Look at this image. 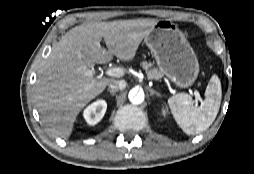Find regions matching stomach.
Wrapping results in <instances>:
<instances>
[{"instance_id":"0dacf381","label":"stomach","mask_w":254,"mask_h":174,"mask_svg":"<svg viewBox=\"0 0 254 174\" xmlns=\"http://www.w3.org/2000/svg\"><path fill=\"white\" fill-rule=\"evenodd\" d=\"M160 72L179 88L191 86L198 77L199 63L185 35L171 20H159L144 38Z\"/></svg>"}]
</instances>
